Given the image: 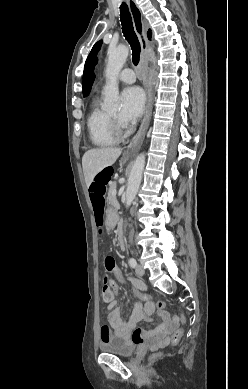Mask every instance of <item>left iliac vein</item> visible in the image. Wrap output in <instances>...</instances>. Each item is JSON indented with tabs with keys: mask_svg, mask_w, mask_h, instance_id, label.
<instances>
[{
	"mask_svg": "<svg viewBox=\"0 0 248 389\" xmlns=\"http://www.w3.org/2000/svg\"><path fill=\"white\" fill-rule=\"evenodd\" d=\"M135 272L138 276H143L145 273V270L142 265H137L135 268Z\"/></svg>",
	"mask_w": 248,
	"mask_h": 389,
	"instance_id": "left-iliac-vein-1",
	"label": "left iliac vein"
}]
</instances>
